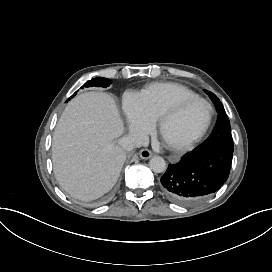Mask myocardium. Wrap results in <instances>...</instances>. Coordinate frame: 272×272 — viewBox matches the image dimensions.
Listing matches in <instances>:
<instances>
[{
	"label": "myocardium",
	"mask_w": 272,
	"mask_h": 272,
	"mask_svg": "<svg viewBox=\"0 0 272 272\" xmlns=\"http://www.w3.org/2000/svg\"><path fill=\"white\" fill-rule=\"evenodd\" d=\"M193 103H200L201 105H203V107L205 108V118L199 128H197L191 134L181 138L182 146L190 145L206 132V130L208 129L211 123L212 114H213V108L211 104L207 100L199 96L185 97L180 99L176 104L173 105L171 109V113L169 115L166 112H164L161 115V129L164 135L166 136V131L168 127V124H167L168 116L176 115L183 112L189 105Z\"/></svg>",
	"instance_id": "myocardium-1"
}]
</instances>
